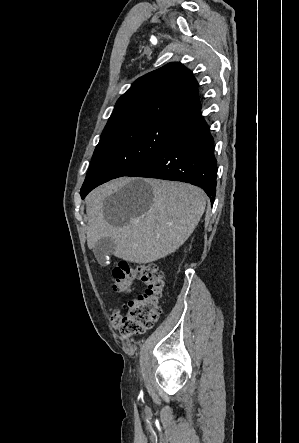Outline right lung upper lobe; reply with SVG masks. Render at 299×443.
<instances>
[{
  "label": "right lung upper lobe",
  "mask_w": 299,
  "mask_h": 443,
  "mask_svg": "<svg viewBox=\"0 0 299 443\" xmlns=\"http://www.w3.org/2000/svg\"><path fill=\"white\" fill-rule=\"evenodd\" d=\"M198 84L190 70L169 63L137 79L122 95L103 133L144 119L183 121L200 109Z\"/></svg>",
  "instance_id": "cb5924a9"
}]
</instances>
